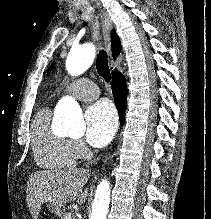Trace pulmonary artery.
I'll list each match as a JSON object with an SVG mask.
<instances>
[{"instance_id": "e3ab8cb5", "label": "pulmonary artery", "mask_w": 211, "mask_h": 219, "mask_svg": "<svg viewBox=\"0 0 211 219\" xmlns=\"http://www.w3.org/2000/svg\"><path fill=\"white\" fill-rule=\"evenodd\" d=\"M63 93H69L74 97L90 101L96 99L99 94V88L95 83L88 79H77L66 84L62 90Z\"/></svg>"}]
</instances>
